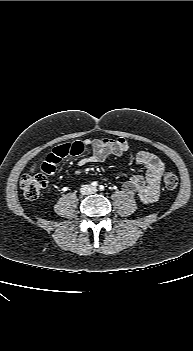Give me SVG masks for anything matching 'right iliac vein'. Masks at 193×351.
I'll return each mask as SVG.
<instances>
[{"mask_svg": "<svg viewBox=\"0 0 193 351\" xmlns=\"http://www.w3.org/2000/svg\"><path fill=\"white\" fill-rule=\"evenodd\" d=\"M82 192H83V193H89V190H88L87 187H84Z\"/></svg>", "mask_w": 193, "mask_h": 351, "instance_id": "1", "label": "right iliac vein"}]
</instances>
